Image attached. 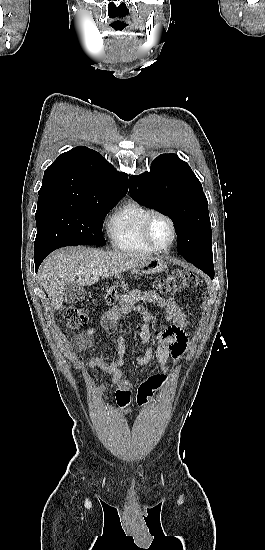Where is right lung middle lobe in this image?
<instances>
[{
	"label": "right lung middle lobe",
	"mask_w": 265,
	"mask_h": 550,
	"mask_svg": "<svg viewBox=\"0 0 265 550\" xmlns=\"http://www.w3.org/2000/svg\"><path fill=\"white\" fill-rule=\"evenodd\" d=\"M120 199H38L34 254H49L64 246H104L103 219Z\"/></svg>",
	"instance_id": "1"
}]
</instances>
